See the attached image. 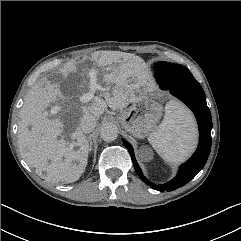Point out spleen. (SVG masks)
<instances>
[{
  "mask_svg": "<svg viewBox=\"0 0 241 241\" xmlns=\"http://www.w3.org/2000/svg\"><path fill=\"white\" fill-rule=\"evenodd\" d=\"M197 136L192 113L179 101L170 100L161 124L148 136V141L164 160L177 163L194 151Z\"/></svg>",
  "mask_w": 241,
  "mask_h": 241,
  "instance_id": "obj_1",
  "label": "spleen"
}]
</instances>
